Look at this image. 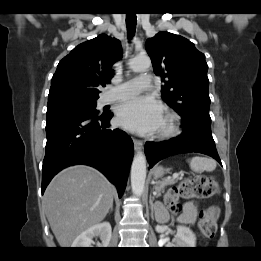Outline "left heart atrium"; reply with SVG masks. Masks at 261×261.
Instances as JSON below:
<instances>
[{"instance_id": "obj_1", "label": "left heart atrium", "mask_w": 261, "mask_h": 261, "mask_svg": "<svg viewBox=\"0 0 261 261\" xmlns=\"http://www.w3.org/2000/svg\"><path fill=\"white\" fill-rule=\"evenodd\" d=\"M117 120L119 125L130 131L150 134L163 127V107L151 96H135L119 105Z\"/></svg>"}]
</instances>
